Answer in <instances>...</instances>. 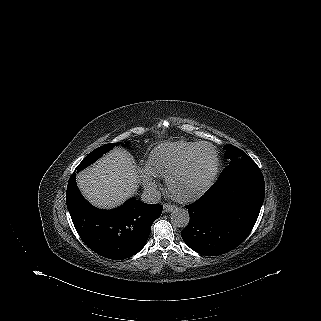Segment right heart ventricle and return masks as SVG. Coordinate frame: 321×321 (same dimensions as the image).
<instances>
[{"instance_id":"obj_1","label":"right heart ventricle","mask_w":321,"mask_h":321,"mask_svg":"<svg viewBox=\"0 0 321 321\" xmlns=\"http://www.w3.org/2000/svg\"><path fill=\"white\" fill-rule=\"evenodd\" d=\"M194 142H166L157 145L150 152L147 168L154 176L165 177L180 164L198 145Z\"/></svg>"}]
</instances>
